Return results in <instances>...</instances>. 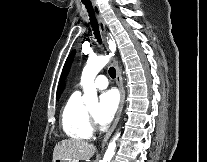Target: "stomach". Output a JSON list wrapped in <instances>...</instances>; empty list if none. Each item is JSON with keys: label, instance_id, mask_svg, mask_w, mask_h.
<instances>
[{"label": "stomach", "instance_id": "1", "mask_svg": "<svg viewBox=\"0 0 207 162\" xmlns=\"http://www.w3.org/2000/svg\"><path fill=\"white\" fill-rule=\"evenodd\" d=\"M54 162H65V161H63V160H55ZM69 162H71V161H69Z\"/></svg>", "mask_w": 207, "mask_h": 162}]
</instances>
